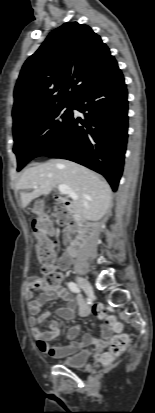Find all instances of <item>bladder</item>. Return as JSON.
I'll list each match as a JSON object with an SVG mask.
<instances>
[{"label": "bladder", "instance_id": "bladder-1", "mask_svg": "<svg viewBox=\"0 0 155 413\" xmlns=\"http://www.w3.org/2000/svg\"><path fill=\"white\" fill-rule=\"evenodd\" d=\"M89 356V351L82 350L72 356L62 359L61 364L71 368H80L87 364Z\"/></svg>", "mask_w": 155, "mask_h": 413}]
</instances>
